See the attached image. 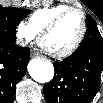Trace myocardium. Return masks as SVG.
Instances as JSON below:
<instances>
[{
  "instance_id": "obj_1",
  "label": "myocardium",
  "mask_w": 103,
  "mask_h": 103,
  "mask_svg": "<svg viewBox=\"0 0 103 103\" xmlns=\"http://www.w3.org/2000/svg\"><path fill=\"white\" fill-rule=\"evenodd\" d=\"M76 12L79 13L82 19V27H81V31L78 35V37L76 38V40L66 49L62 50V51H51L49 49L46 48L47 52L54 58H65L70 56L71 54H73L81 45L86 32H87V18H86V14L85 12L80 9V8H76V7H70L66 10H64L63 12L59 13L57 16H55L41 31V35H40V39L43 42L44 38L53 30L55 29L58 24L69 14Z\"/></svg>"
}]
</instances>
